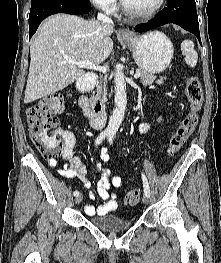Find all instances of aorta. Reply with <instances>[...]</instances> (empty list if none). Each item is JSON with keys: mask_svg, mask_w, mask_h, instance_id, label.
Masks as SVG:
<instances>
[{"mask_svg": "<svg viewBox=\"0 0 221 263\" xmlns=\"http://www.w3.org/2000/svg\"><path fill=\"white\" fill-rule=\"evenodd\" d=\"M115 97L114 102L115 106L110 116L108 126L106 128V133L109 135H114L124 118L126 104H127V95H126V83L124 78V73L121 68L116 69L115 76Z\"/></svg>", "mask_w": 221, "mask_h": 263, "instance_id": "1", "label": "aorta"}]
</instances>
